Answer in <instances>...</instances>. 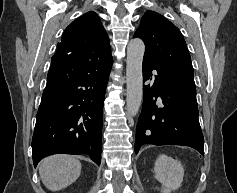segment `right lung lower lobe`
Masks as SVG:
<instances>
[{
  "mask_svg": "<svg viewBox=\"0 0 237 193\" xmlns=\"http://www.w3.org/2000/svg\"><path fill=\"white\" fill-rule=\"evenodd\" d=\"M112 57L78 64L52 57L32 138L34 166L56 153L101 163L102 109Z\"/></svg>",
  "mask_w": 237,
  "mask_h": 193,
  "instance_id": "right-lung-lower-lobe-1",
  "label": "right lung lower lobe"
}]
</instances>
